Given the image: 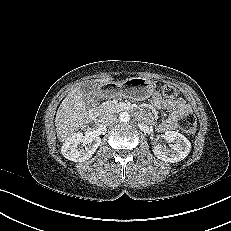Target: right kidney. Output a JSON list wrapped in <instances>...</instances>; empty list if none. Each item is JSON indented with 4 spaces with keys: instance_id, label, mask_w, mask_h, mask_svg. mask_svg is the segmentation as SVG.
<instances>
[{
    "instance_id": "ca27d5eb",
    "label": "right kidney",
    "mask_w": 231,
    "mask_h": 231,
    "mask_svg": "<svg viewBox=\"0 0 231 231\" xmlns=\"http://www.w3.org/2000/svg\"><path fill=\"white\" fill-rule=\"evenodd\" d=\"M100 143L101 138L92 133L77 132L63 143L61 153L68 160L84 162L92 157Z\"/></svg>"
}]
</instances>
